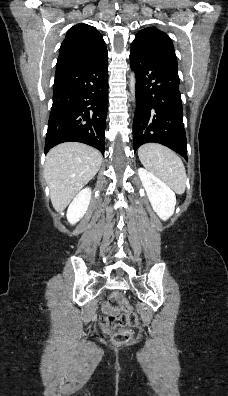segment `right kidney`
<instances>
[{
	"label": "right kidney",
	"mask_w": 228,
	"mask_h": 396,
	"mask_svg": "<svg viewBox=\"0 0 228 396\" xmlns=\"http://www.w3.org/2000/svg\"><path fill=\"white\" fill-rule=\"evenodd\" d=\"M91 200V189L81 190L70 203L67 210V219L70 224L77 223L86 213Z\"/></svg>",
	"instance_id": "1"
}]
</instances>
